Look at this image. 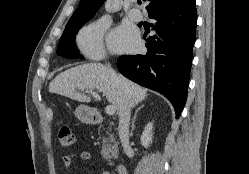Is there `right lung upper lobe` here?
Listing matches in <instances>:
<instances>
[{
	"label": "right lung upper lobe",
	"instance_id": "obj_1",
	"mask_svg": "<svg viewBox=\"0 0 249 174\" xmlns=\"http://www.w3.org/2000/svg\"><path fill=\"white\" fill-rule=\"evenodd\" d=\"M105 0H81L78 9L74 12L68 23L90 20ZM149 4L146 7L151 13L161 7L171 6L184 0H144Z\"/></svg>",
	"mask_w": 249,
	"mask_h": 174
}]
</instances>
